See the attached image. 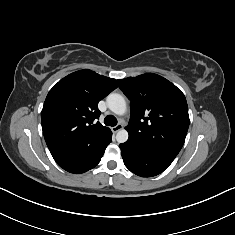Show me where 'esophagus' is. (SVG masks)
<instances>
[{"instance_id":"1","label":"esophagus","mask_w":235,"mask_h":235,"mask_svg":"<svg viewBox=\"0 0 235 235\" xmlns=\"http://www.w3.org/2000/svg\"><path fill=\"white\" fill-rule=\"evenodd\" d=\"M123 128V125L122 124H117L116 126H114L112 129H113V132H118L120 131L121 129Z\"/></svg>"}]
</instances>
